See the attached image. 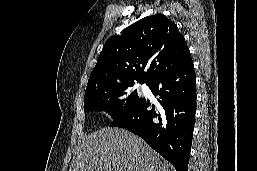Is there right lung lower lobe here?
<instances>
[{
	"instance_id": "98d812e1",
	"label": "right lung lower lobe",
	"mask_w": 257,
	"mask_h": 171,
	"mask_svg": "<svg viewBox=\"0 0 257 171\" xmlns=\"http://www.w3.org/2000/svg\"><path fill=\"white\" fill-rule=\"evenodd\" d=\"M159 106L140 97L110 126L130 130L167 159L177 171H187L191 151L196 104V76L192 59L146 83Z\"/></svg>"
}]
</instances>
